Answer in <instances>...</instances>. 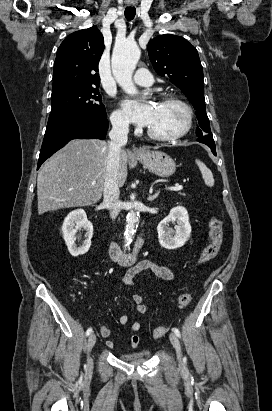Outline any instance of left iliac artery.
Here are the masks:
<instances>
[{"mask_svg":"<svg viewBox=\"0 0 272 411\" xmlns=\"http://www.w3.org/2000/svg\"><path fill=\"white\" fill-rule=\"evenodd\" d=\"M172 330L176 334L177 337H181V334L178 328L174 327Z\"/></svg>","mask_w":272,"mask_h":411,"instance_id":"obj_1","label":"left iliac artery"}]
</instances>
